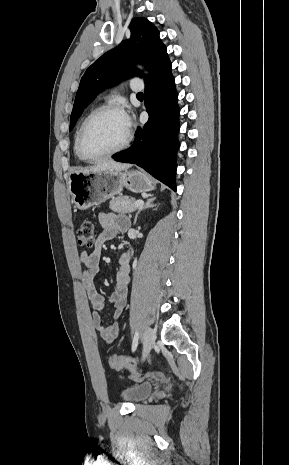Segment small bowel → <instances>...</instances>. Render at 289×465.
<instances>
[{
    "label": "small bowel",
    "instance_id": "small-bowel-1",
    "mask_svg": "<svg viewBox=\"0 0 289 465\" xmlns=\"http://www.w3.org/2000/svg\"><path fill=\"white\" fill-rule=\"evenodd\" d=\"M98 220L102 229L96 238L94 250L91 253L88 251L81 253V262L84 267L81 273V281L92 304L94 327L100 333L104 342L111 344L119 336L120 328L117 320L123 312L128 296L130 254L124 253L119 258L115 288L109 297V302L114 308L113 319L109 323H105L101 317V312L105 307V298L98 292L95 278L100 269L103 246L107 241L114 239L118 233L125 232L129 228V221L121 215L103 212L98 215Z\"/></svg>",
    "mask_w": 289,
    "mask_h": 465
}]
</instances>
